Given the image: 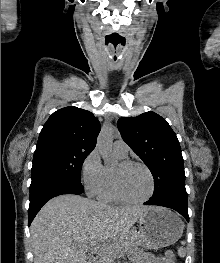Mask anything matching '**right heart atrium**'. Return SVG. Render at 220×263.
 I'll use <instances>...</instances> for the list:
<instances>
[{
	"label": "right heart atrium",
	"instance_id": "1",
	"mask_svg": "<svg viewBox=\"0 0 220 263\" xmlns=\"http://www.w3.org/2000/svg\"><path fill=\"white\" fill-rule=\"evenodd\" d=\"M80 175L86 192L96 195L104 181V166L97 149H93L83 160Z\"/></svg>",
	"mask_w": 220,
	"mask_h": 263
}]
</instances>
